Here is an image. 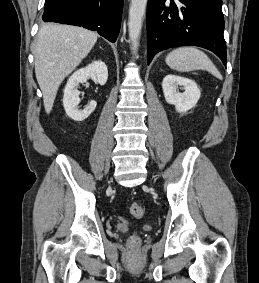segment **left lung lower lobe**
I'll return each instance as SVG.
<instances>
[{"label": "left lung lower lobe", "instance_id": "1", "mask_svg": "<svg viewBox=\"0 0 259 283\" xmlns=\"http://www.w3.org/2000/svg\"><path fill=\"white\" fill-rule=\"evenodd\" d=\"M222 0H148L147 60L167 48L199 46L227 63Z\"/></svg>", "mask_w": 259, "mask_h": 283}]
</instances>
